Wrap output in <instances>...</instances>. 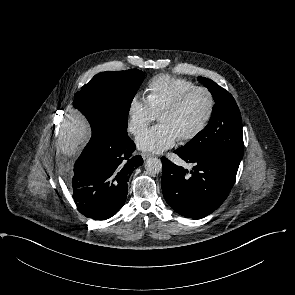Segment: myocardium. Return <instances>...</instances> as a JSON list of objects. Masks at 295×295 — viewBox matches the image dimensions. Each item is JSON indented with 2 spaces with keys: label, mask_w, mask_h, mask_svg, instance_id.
Here are the masks:
<instances>
[{
  "label": "myocardium",
  "mask_w": 295,
  "mask_h": 295,
  "mask_svg": "<svg viewBox=\"0 0 295 295\" xmlns=\"http://www.w3.org/2000/svg\"><path fill=\"white\" fill-rule=\"evenodd\" d=\"M204 92L208 98V111L202 122L191 133L183 135L181 141H191L197 138L210 124L216 109V98L214 93L207 86L195 85L180 95L172 104L167 106L159 115V120L162 116L179 112L196 92Z\"/></svg>",
  "instance_id": "myocardium-1"
}]
</instances>
